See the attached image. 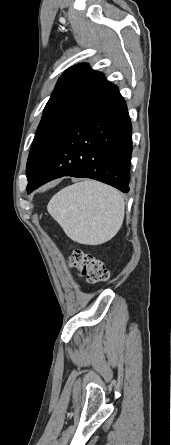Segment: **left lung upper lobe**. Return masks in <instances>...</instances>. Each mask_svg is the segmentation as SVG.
<instances>
[{
	"label": "left lung upper lobe",
	"instance_id": "left-lung-upper-lobe-1",
	"mask_svg": "<svg viewBox=\"0 0 171 445\" xmlns=\"http://www.w3.org/2000/svg\"><path fill=\"white\" fill-rule=\"evenodd\" d=\"M104 74L87 64L69 68L58 80L47 102L27 160V179H32L51 152L89 110L117 91Z\"/></svg>",
	"mask_w": 171,
	"mask_h": 445
}]
</instances>
